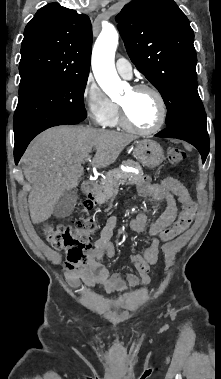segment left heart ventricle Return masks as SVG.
Segmentation results:
<instances>
[{
	"label": "left heart ventricle",
	"mask_w": 221,
	"mask_h": 379,
	"mask_svg": "<svg viewBox=\"0 0 221 379\" xmlns=\"http://www.w3.org/2000/svg\"><path fill=\"white\" fill-rule=\"evenodd\" d=\"M129 120L139 128L153 126L158 118V104L150 92H134L129 90L120 100Z\"/></svg>",
	"instance_id": "obj_1"
}]
</instances>
